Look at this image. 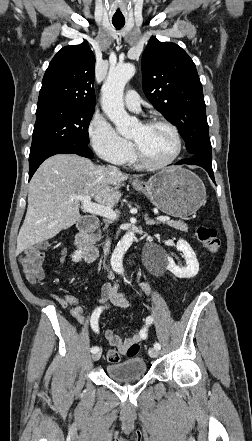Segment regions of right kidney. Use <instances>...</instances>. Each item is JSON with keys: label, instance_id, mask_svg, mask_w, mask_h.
<instances>
[{"label": "right kidney", "instance_id": "ca27d5eb", "mask_svg": "<svg viewBox=\"0 0 252 441\" xmlns=\"http://www.w3.org/2000/svg\"><path fill=\"white\" fill-rule=\"evenodd\" d=\"M82 259V251L76 250L74 254H72V260L75 262H79Z\"/></svg>", "mask_w": 252, "mask_h": 441}]
</instances>
